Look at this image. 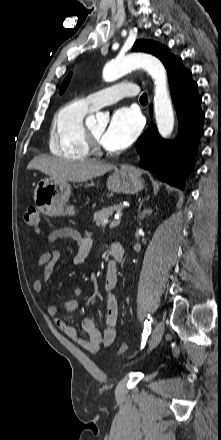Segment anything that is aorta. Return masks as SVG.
<instances>
[{
    "instance_id": "obj_1",
    "label": "aorta",
    "mask_w": 221,
    "mask_h": 440,
    "mask_svg": "<svg viewBox=\"0 0 221 440\" xmlns=\"http://www.w3.org/2000/svg\"><path fill=\"white\" fill-rule=\"evenodd\" d=\"M138 68H144L154 80V113L157 129L163 138H167L174 128V114L168 92L167 73L159 59L146 53H132L116 58L105 66L103 79L112 82ZM90 119L94 121L95 117L92 116Z\"/></svg>"
}]
</instances>
